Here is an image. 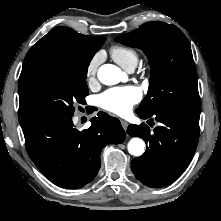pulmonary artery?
<instances>
[{"label": "pulmonary artery", "mask_w": 221, "mask_h": 221, "mask_svg": "<svg viewBox=\"0 0 221 221\" xmlns=\"http://www.w3.org/2000/svg\"><path fill=\"white\" fill-rule=\"evenodd\" d=\"M135 67H130L127 69V71L132 72L134 70Z\"/></svg>", "instance_id": "e3ab8cb5"}]
</instances>
